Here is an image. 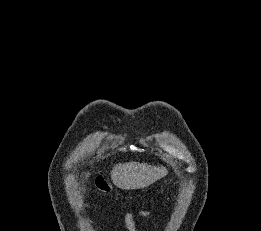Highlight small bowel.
I'll return each instance as SVG.
<instances>
[{"mask_svg": "<svg viewBox=\"0 0 261 231\" xmlns=\"http://www.w3.org/2000/svg\"><path fill=\"white\" fill-rule=\"evenodd\" d=\"M138 215L143 218H149L151 213L147 210H139ZM124 224L128 231H136V222H135V214L134 213H126L124 215Z\"/></svg>", "mask_w": 261, "mask_h": 231, "instance_id": "obj_1", "label": "small bowel"}]
</instances>
